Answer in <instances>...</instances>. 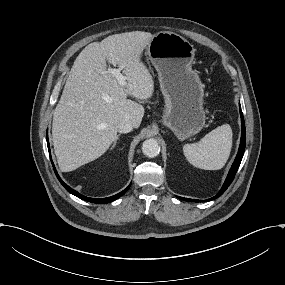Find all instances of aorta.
I'll return each mask as SVG.
<instances>
[{
    "mask_svg": "<svg viewBox=\"0 0 285 285\" xmlns=\"http://www.w3.org/2000/svg\"><path fill=\"white\" fill-rule=\"evenodd\" d=\"M142 152L149 158L156 157L160 152V146L155 139H148L143 142Z\"/></svg>",
    "mask_w": 285,
    "mask_h": 285,
    "instance_id": "aorta-1",
    "label": "aorta"
}]
</instances>
